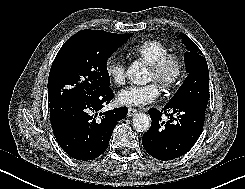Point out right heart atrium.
<instances>
[{"label":"right heart atrium","mask_w":245,"mask_h":189,"mask_svg":"<svg viewBox=\"0 0 245 189\" xmlns=\"http://www.w3.org/2000/svg\"><path fill=\"white\" fill-rule=\"evenodd\" d=\"M105 71L111 80L117 84L122 85L126 80L125 61L120 57H110L105 62Z\"/></svg>","instance_id":"d8ad5b80"}]
</instances>
